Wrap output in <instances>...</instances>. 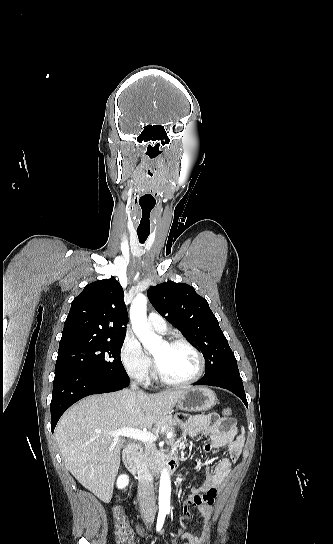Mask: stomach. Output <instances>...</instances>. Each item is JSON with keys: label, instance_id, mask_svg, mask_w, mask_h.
Returning <instances> with one entry per match:
<instances>
[{"label": "stomach", "instance_id": "obj_1", "mask_svg": "<svg viewBox=\"0 0 333 544\" xmlns=\"http://www.w3.org/2000/svg\"><path fill=\"white\" fill-rule=\"evenodd\" d=\"M217 403L216 394L205 387L187 389L179 398L177 406L179 409L188 412L207 411Z\"/></svg>", "mask_w": 333, "mask_h": 544}]
</instances>
